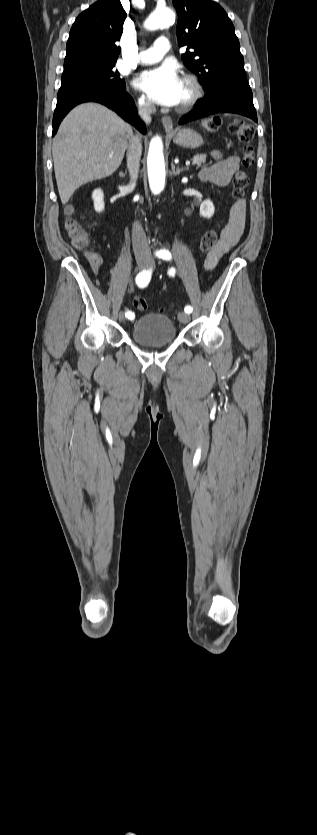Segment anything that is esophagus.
<instances>
[{
  "mask_svg": "<svg viewBox=\"0 0 317 835\" xmlns=\"http://www.w3.org/2000/svg\"><path fill=\"white\" fill-rule=\"evenodd\" d=\"M161 122H162L166 132H172L173 131V122H172V119L169 116L162 117Z\"/></svg>",
  "mask_w": 317,
  "mask_h": 835,
  "instance_id": "34e87169",
  "label": "esophagus"
}]
</instances>
